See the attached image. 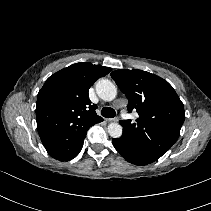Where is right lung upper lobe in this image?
Returning <instances> with one entry per match:
<instances>
[{"label": "right lung upper lobe", "instance_id": "1", "mask_svg": "<svg viewBox=\"0 0 211 211\" xmlns=\"http://www.w3.org/2000/svg\"><path fill=\"white\" fill-rule=\"evenodd\" d=\"M111 68L88 62L72 64L50 76L37 96L36 118L41 141L55 159L64 161L88 129L103 121L91 105L89 88Z\"/></svg>", "mask_w": 211, "mask_h": 211}]
</instances>
